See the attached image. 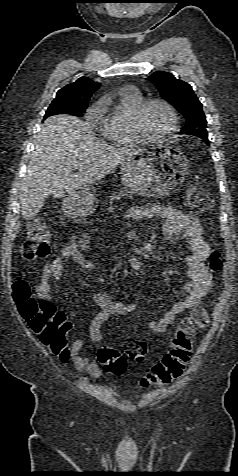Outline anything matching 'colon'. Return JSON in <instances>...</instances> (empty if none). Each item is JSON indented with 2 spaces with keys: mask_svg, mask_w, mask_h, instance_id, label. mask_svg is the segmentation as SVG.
<instances>
[{
  "mask_svg": "<svg viewBox=\"0 0 238 476\" xmlns=\"http://www.w3.org/2000/svg\"><path fill=\"white\" fill-rule=\"evenodd\" d=\"M187 203L192 210L201 214L210 212L214 205L212 198L197 185L189 186ZM48 238L49 230L44 221L40 218L31 220L27 228V238L21 249L22 257L29 261L47 257L50 253ZM222 266V254L213 251L209 258L210 269L219 271ZM13 296L21 316L40 342L57 355L66 354L71 325L65 315L59 312L53 303L35 298L30 285L24 280L14 282ZM209 322V314L205 307L193 308L175 331L169 351L142 377L141 385L158 386L180 377L191 357L196 332L207 329ZM147 353L148 346L144 340L130 338L124 341L122 352L110 347H101L97 357L105 371L121 375L126 370L127 359L142 361Z\"/></svg>",
  "mask_w": 238,
  "mask_h": 476,
  "instance_id": "obj_1",
  "label": "colon"
}]
</instances>
